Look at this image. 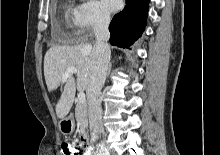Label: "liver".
Listing matches in <instances>:
<instances>
[{"mask_svg":"<svg viewBox=\"0 0 220 155\" xmlns=\"http://www.w3.org/2000/svg\"><path fill=\"white\" fill-rule=\"evenodd\" d=\"M93 60V46L90 43L74 46H52L44 57V76L49 91L65 83L64 90L56 104V115L64 119L71 110L76 89L87 90ZM77 68V80L71 76L62 82V76L70 68Z\"/></svg>","mask_w":220,"mask_h":155,"instance_id":"6515ba94","label":"liver"}]
</instances>
